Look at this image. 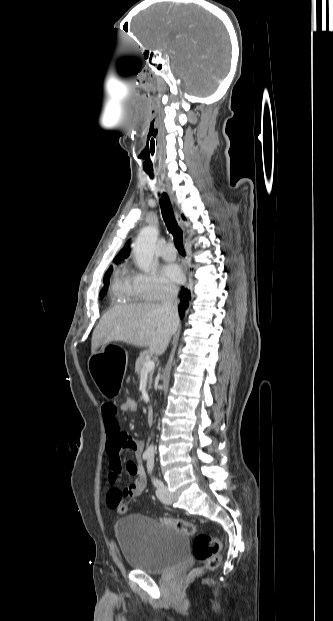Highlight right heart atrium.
Here are the masks:
<instances>
[{
  "mask_svg": "<svg viewBox=\"0 0 333 621\" xmlns=\"http://www.w3.org/2000/svg\"><path fill=\"white\" fill-rule=\"evenodd\" d=\"M132 281L137 295L144 301H162L176 294V288L166 283L154 270L138 272L133 275Z\"/></svg>",
  "mask_w": 333,
  "mask_h": 621,
  "instance_id": "obj_1",
  "label": "right heart atrium"
}]
</instances>
